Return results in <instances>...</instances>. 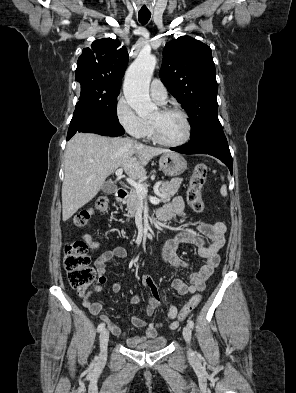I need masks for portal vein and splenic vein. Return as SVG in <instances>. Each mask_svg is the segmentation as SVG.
Segmentation results:
<instances>
[{"label":"portal vein and splenic vein","mask_w":296,"mask_h":393,"mask_svg":"<svg viewBox=\"0 0 296 393\" xmlns=\"http://www.w3.org/2000/svg\"><path fill=\"white\" fill-rule=\"evenodd\" d=\"M115 173H116V176H117L118 178H121V177H122V174H123V169H122V168H119V169L116 170ZM127 182H128L131 186H133V187L135 188V190L137 191L138 195H139L141 198H145V197L147 196V188H146L143 184L137 183V182H136L134 179H132V178H127ZM149 199H150L151 202H158V201H159V200H158L157 198H155V197H150Z\"/></svg>","instance_id":"obj_1"}]
</instances>
